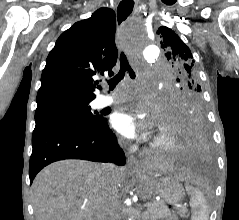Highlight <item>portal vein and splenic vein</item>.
Here are the masks:
<instances>
[{
    "instance_id": "portal-vein-and-splenic-vein-1",
    "label": "portal vein and splenic vein",
    "mask_w": 239,
    "mask_h": 220,
    "mask_svg": "<svg viewBox=\"0 0 239 220\" xmlns=\"http://www.w3.org/2000/svg\"><path fill=\"white\" fill-rule=\"evenodd\" d=\"M151 205V203H145L143 206L144 207H148V206H150Z\"/></svg>"
}]
</instances>
